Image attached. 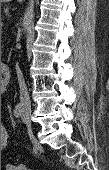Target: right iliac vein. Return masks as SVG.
Here are the masks:
<instances>
[{
	"mask_svg": "<svg viewBox=\"0 0 109 170\" xmlns=\"http://www.w3.org/2000/svg\"><path fill=\"white\" fill-rule=\"evenodd\" d=\"M25 117L29 120V112H25Z\"/></svg>",
	"mask_w": 109,
	"mask_h": 170,
	"instance_id": "right-iliac-vein-1",
	"label": "right iliac vein"
}]
</instances>
